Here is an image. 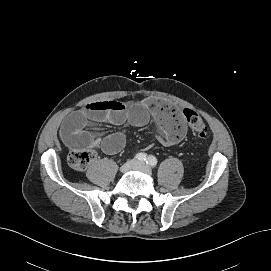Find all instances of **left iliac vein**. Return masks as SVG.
Returning <instances> with one entry per match:
<instances>
[{
  "label": "left iliac vein",
  "mask_w": 271,
  "mask_h": 271,
  "mask_svg": "<svg viewBox=\"0 0 271 271\" xmlns=\"http://www.w3.org/2000/svg\"><path fill=\"white\" fill-rule=\"evenodd\" d=\"M135 170L140 171L146 175H151V169L149 166H147L144 163H137V166L135 167Z\"/></svg>",
  "instance_id": "obj_1"
}]
</instances>
